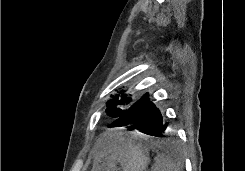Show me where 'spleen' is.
<instances>
[{"mask_svg": "<svg viewBox=\"0 0 245 171\" xmlns=\"http://www.w3.org/2000/svg\"><path fill=\"white\" fill-rule=\"evenodd\" d=\"M151 171H180L174 161L164 153L158 154Z\"/></svg>", "mask_w": 245, "mask_h": 171, "instance_id": "obj_1", "label": "spleen"}]
</instances>
